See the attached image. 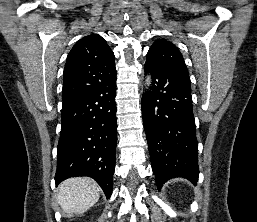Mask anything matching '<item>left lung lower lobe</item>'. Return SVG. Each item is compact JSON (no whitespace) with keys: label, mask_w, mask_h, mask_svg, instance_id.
<instances>
[{"label":"left lung lower lobe","mask_w":257,"mask_h":222,"mask_svg":"<svg viewBox=\"0 0 257 222\" xmlns=\"http://www.w3.org/2000/svg\"><path fill=\"white\" fill-rule=\"evenodd\" d=\"M150 91L142 96V116L152 170L158 188L169 179L183 177L197 183L198 141L190 80L146 61Z\"/></svg>","instance_id":"left-lung-lower-lobe-1"}]
</instances>
